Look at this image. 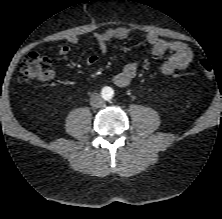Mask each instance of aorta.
I'll return each mask as SVG.
<instances>
[{
	"label": "aorta",
	"instance_id": "aorta-1",
	"mask_svg": "<svg viewBox=\"0 0 222 219\" xmlns=\"http://www.w3.org/2000/svg\"><path fill=\"white\" fill-rule=\"evenodd\" d=\"M105 95H106L107 98H111L112 95H113L112 89L108 87V88L105 90Z\"/></svg>",
	"mask_w": 222,
	"mask_h": 219
}]
</instances>
